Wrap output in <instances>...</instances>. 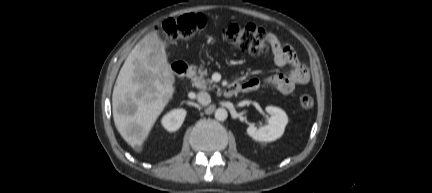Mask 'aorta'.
Masks as SVG:
<instances>
[{"instance_id": "1", "label": "aorta", "mask_w": 432, "mask_h": 193, "mask_svg": "<svg viewBox=\"0 0 432 193\" xmlns=\"http://www.w3.org/2000/svg\"><path fill=\"white\" fill-rule=\"evenodd\" d=\"M214 116L217 120L224 121L227 119L228 113H227L226 109L218 108V109H216Z\"/></svg>"}]
</instances>
